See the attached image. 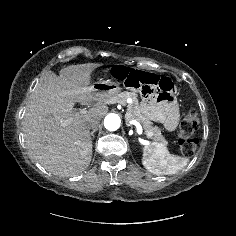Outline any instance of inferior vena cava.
<instances>
[{"label":"inferior vena cava","mask_w":236,"mask_h":236,"mask_svg":"<svg viewBox=\"0 0 236 236\" xmlns=\"http://www.w3.org/2000/svg\"><path fill=\"white\" fill-rule=\"evenodd\" d=\"M88 128L92 130H97L98 127L100 126V120L99 119H91L88 122Z\"/></svg>","instance_id":"1"}]
</instances>
